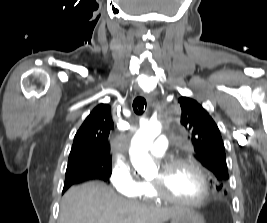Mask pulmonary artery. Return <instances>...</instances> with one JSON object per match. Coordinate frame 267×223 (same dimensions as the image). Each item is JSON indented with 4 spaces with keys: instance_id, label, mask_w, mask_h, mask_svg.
Returning <instances> with one entry per match:
<instances>
[{
    "instance_id": "obj_1",
    "label": "pulmonary artery",
    "mask_w": 267,
    "mask_h": 223,
    "mask_svg": "<svg viewBox=\"0 0 267 223\" xmlns=\"http://www.w3.org/2000/svg\"><path fill=\"white\" fill-rule=\"evenodd\" d=\"M168 139L165 136H158L154 144L149 148V153L156 157H162L167 151Z\"/></svg>"
}]
</instances>
